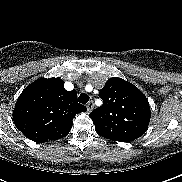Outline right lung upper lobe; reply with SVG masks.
I'll return each instance as SVG.
<instances>
[{"label": "right lung upper lobe", "mask_w": 182, "mask_h": 182, "mask_svg": "<svg viewBox=\"0 0 182 182\" xmlns=\"http://www.w3.org/2000/svg\"><path fill=\"white\" fill-rule=\"evenodd\" d=\"M87 108L77 102L76 91H67L60 78H40L27 86L16 101L13 121L35 142L57 140L71 130L73 118Z\"/></svg>", "instance_id": "cb5924a9"}]
</instances>
